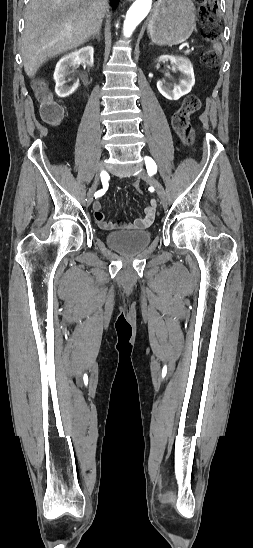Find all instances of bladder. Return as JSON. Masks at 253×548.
Here are the masks:
<instances>
[{
	"instance_id": "31cf9c89",
	"label": "bladder",
	"mask_w": 253,
	"mask_h": 548,
	"mask_svg": "<svg viewBox=\"0 0 253 548\" xmlns=\"http://www.w3.org/2000/svg\"><path fill=\"white\" fill-rule=\"evenodd\" d=\"M151 238L149 230L113 231L106 235V242L123 254H136L149 245Z\"/></svg>"
}]
</instances>
